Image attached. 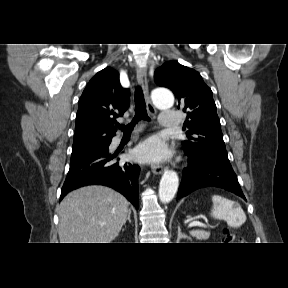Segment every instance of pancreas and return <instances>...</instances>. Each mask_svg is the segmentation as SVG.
Masks as SVG:
<instances>
[{
    "label": "pancreas",
    "mask_w": 288,
    "mask_h": 288,
    "mask_svg": "<svg viewBox=\"0 0 288 288\" xmlns=\"http://www.w3.org/2000/svg\"><path fill=\"white\" fill-rule=\"evenodd\" d=\"M190 234L198 240H206L210 236V232L204 230H193Z\"/></svg>",
    "instance_id": "cf45deb5"
}]
</instances>
